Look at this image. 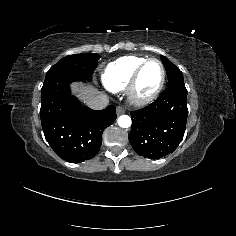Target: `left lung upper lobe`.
<instances>
[{"instance_id": "left-lung-upper-lobe-1", "label": "left lung upper lobe", "mask_w": 236, "mask_h": 236, "mask_svg": "<svg viewBox=\"0 0 236 236\" xmlns=\"http://www.w3.org/2000/svg\"><path fill=\"white\" fill-rule=\"evenodd\" d=\"M161 60H162L163 65L166 69V73H167V77H168L167 86H171V85L179 84V83H184L183 74L179 70V68L176 65H174L165 56H161Z\"/></svg>"}]
</instances>
